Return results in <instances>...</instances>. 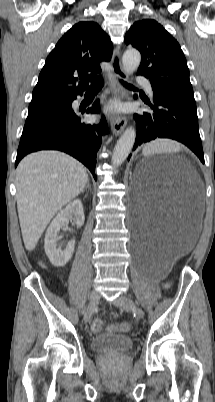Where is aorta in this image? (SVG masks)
Returning <instances> with one entry per match:
<instances>
[{"label": "aorta", "mask_w": 215, "mask_h": 402, "mask_svg": "<svg viewBox=\"0 0 215 402\" xmlns=\"http://www.w3.org/2000/svg\"><path fill=\"white\" fill-rule=\"evenodd\" d=\"M141 62V55L136 49H128L125 51L122 57V64L125 73L131 74L135 72ZM136 138V131L129 127L121 135L117 141L114 152L112 155L113 167H119L128 157L132 150Z\"/></svg>", "instance_id": "1"}]
</instances>
